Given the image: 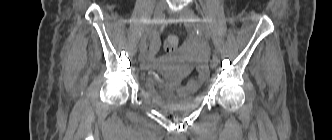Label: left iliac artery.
<instances>
[{
	"mask_svg": "<svg viewBox=\"0 0 332 140\" xmlns=\"http://www.w3.org/2000/svg\"><path fill=\"white\" fill-rule=\"evenodd\" d=\"M193 22L195 23L194 26L197 34L205 35V37L209 39V33L204 27L203 20L200 17L194 15ZM213 60L216 61L217 63L219 62L218 56L216 55L215 52L213 53Z\"/></svg>",
	"mask_w": 332,
	"mask_h": 140,
	"instance_id": "1",
	"label": "left iliac artery"
}]
</instances>
